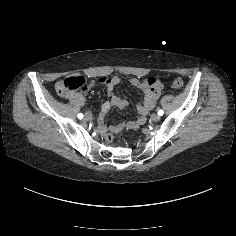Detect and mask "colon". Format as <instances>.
I'll return each mask as SVG.
<instances>
[{
	"mask_svg": "<svg viewBox=\"0 0 236 236\" xmlns=\"http://www.w3.org/2000/svg\"><path fill=\"white\" fill-rule=\"evenodd\" d=\"M156 80L151 78L149 83H155ZM172 87L181 88L183 86V80L180 77H174L172 79ZM86 85V80L81 76H71L63 81L59 82L57 85V91L60 95H67L73 91L83 88ZM106 140L111 142L113 140V134L107 133Z\"/></svg>",
	"mask_w": 236,
	"mask_h": 236,
	"instance_id": "obj_1",
	"label": "colon"
}]
</instances>
